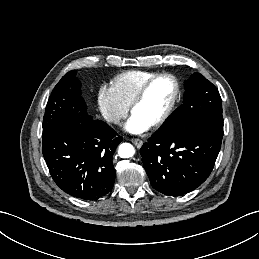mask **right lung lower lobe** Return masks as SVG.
Wrapping results in <instances>:
<instances>
[{
    "instance_id": "1",
    "label": "right lung lower lobe",
    "mask_w": 259,
    "mask_h": 259,
    "mask_svg": "<svg viewBox=\"0 0 259 259\" xmlns=\"http://www.w3.org/2000/svg\"><path fill=\"white\" fill-rule=\"evenodd\" d=\"M106 123L62 120L43 135L42 153L55 183L76 198L97 200L113 187L112 156L122 141Z\"/></svg>"
}]
</instances>
